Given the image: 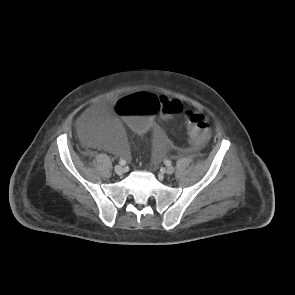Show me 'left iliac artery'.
Instances as JSON below:
<instances>
[{
    "mask_svg": "<svg viewBox=\"0 0 295 295\" xmlns=\"http://www.w3.org/2000/svg\"><path fill=\"white\" fill-rule=\"evenodd\" d=\"M165 164H166L167 166H170V165H171V161H170V160H166V161H165Z\"/></svg>",
    "mask_w": 295,
    "mask_h": 295,
    "instance_id": "44dca946",
    "label": "left iliac artery"
}]
</instances>
